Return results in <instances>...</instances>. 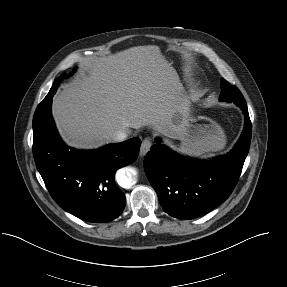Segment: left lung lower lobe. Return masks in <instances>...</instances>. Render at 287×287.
Segmentation results:
<instances>
[{"label":"left lung lower lobe","instance_id":"1","mask_svg":"<svg viewBox=\"0 0 287 287\" xmlns=\"http://www.w3.org/2000/svg\"><path fill=\"white\" fill-rule=\"evenodd\" d=\"M245 114L244 131L226 155L211 160L179 155L156 140L144 159V169L163 210L178 219L209 213L232 193L249 151L252 126L247 104L238 103Z\"/></svg>","mask_w":287,"mask_h":287}]
</instances>
